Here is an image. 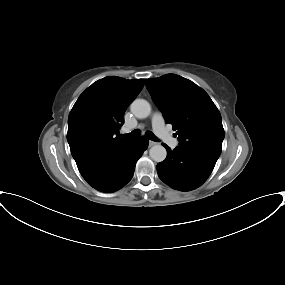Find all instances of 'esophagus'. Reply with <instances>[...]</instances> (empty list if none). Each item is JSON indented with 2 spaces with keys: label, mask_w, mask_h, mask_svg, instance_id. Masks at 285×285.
I'll return each instance as SVG.
<instances>
[{
  "label": "esophagus",
  "mask_w": 285,
  "mask_h": 285,
  "mask_svg": "<svg viewBox=\"0 0 285 285\" xmlns=\"http://www.w3.org/2000/svg\"><path fill=\"white\" fill-rule=\"evenodd\" d=\"M156 144H157V142L149 141V147H152V146H154V145H156Z\"/></svg>",
  "instance_id": "34e87169"
}]
</instances>
